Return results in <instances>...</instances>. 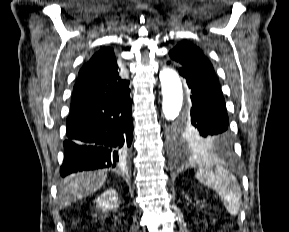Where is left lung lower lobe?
<instances>
[{"label": "left lung lower lobe", "mask_w": 289, "mask_h": 232, "mask_svg": "<svg viewBox=\"0 0 289 232\" xmlns=\"http://www.w3.org/2000/svg\"><path fill=\"white\" fill-rule=\"evenodd\" d=\"M168 64L178 69L191 90V119L188 124L199 136L213 143V151L229 152L233 140L218 80L204 72L182 67L172 60Z\"/></svg>", "instance_id": "0a47b994"}]
</instances>
